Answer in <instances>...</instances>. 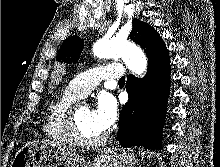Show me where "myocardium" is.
Listing matches in <instances>:
<instances>
[{
    "mask_svg": "<svg viewBox=\"0 0 220 167\" xmlns=\"http://www.w3.org/2000/svg\"><path fill=\"white\" fill-rule=\"evenodd\" d=\"M79 104L71 106L67 116V130L73 144L80 147H96L104 144L108 139V134L104 133L101 137L94 140L84 139L78 128L77 108Z\"/></svg>",
    "mask_w": 220,
    "mask_h": 167,
    "instance_id": "1",
    "label": "myocardium"
}]
</instances>
